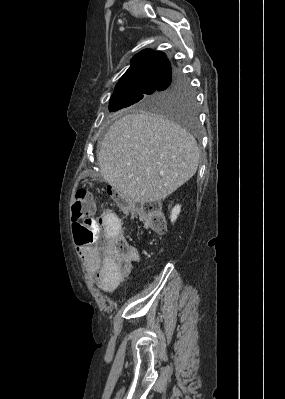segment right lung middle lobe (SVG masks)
<instances>
[{"label":"right lung middle lobe","instance_id":"dd1d6c3e","mask_svg":"<svg viewBox=\"0 0 285 399\" xmlns=\"http://www.w3.org/2000/svg\"><path fill=\"white\" fill-rule=\"evenodd\" d=\"M129 106L171 116L191 130H194L196 125L197 108L194 91L183 76L158 88L114 94L110 98V111Z\"/></svg>","mask_w":285,"mask_h":399}]
</instances>
